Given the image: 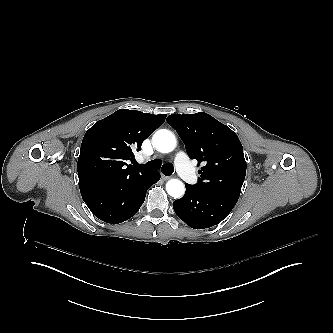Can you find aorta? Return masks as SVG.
<instances>
[{"instance_id": "obj_1", "label": "aorta", "mask_w": 333, "mask_h": 333, "mask_svg": "<svg viewBox=\"0 0 333 333\" xmlns=\"http://www.w3.org/2000/svg\"><path fill=\"white\" fill-rule=\"evenodd\" d=\"M153 144L161 153H170L177 146L175 136L168 130H158L153 136ZM168 194L174 198H178L184 194V184L178 179H170L166 183Z\"/></svg>"}]
</instances>
